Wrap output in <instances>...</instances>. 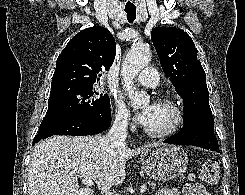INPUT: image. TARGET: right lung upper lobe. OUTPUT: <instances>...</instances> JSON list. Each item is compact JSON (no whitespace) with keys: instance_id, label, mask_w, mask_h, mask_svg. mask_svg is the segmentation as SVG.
I'll list each match as a JSON object with an SVG mask.
<instances>
[{"instance_id":"1","label":"right lung upper lobe","mask_w":245,"mask_h":195,"mask_svg":"<svg viewBox=\"0 0 245 195\" xmlns=\"http://www.w3.org/2000/svg\"><path fill=\"white\" fill-rule=\"evenodd\" d=\"M115 55L116 43L107 29L93 26L82 30L70 40L57 58L51 92L93 86L100 80L101 72L112 66Z\"/></svg>"}]
</instances>
